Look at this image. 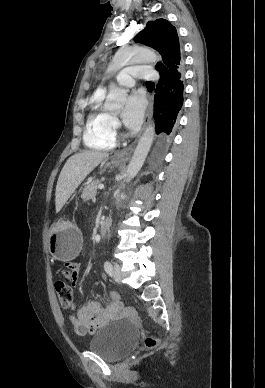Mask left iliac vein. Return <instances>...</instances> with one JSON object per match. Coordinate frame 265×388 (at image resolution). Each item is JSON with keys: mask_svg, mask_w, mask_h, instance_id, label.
<instances>
[{"mask_svg": "<svg viewBox=\"0 0 265 388\" xmlns=\"http://www.w3.org/2000/svg\"><path fill=\"white\" fill-rule=\"evenodd\" d=\"M112 276L116 282L121 281V269H120V266L118 264L114 265Z\"/></svg>", "mask_w": 265, "mask_h": 388, "instance_id": "obj_1", "label": "left iliac vein"}]
</instances>
